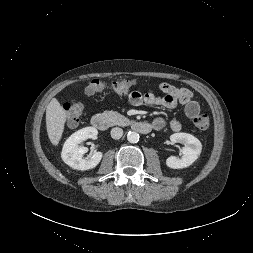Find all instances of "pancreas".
I'll return each instance as SVG.
<instances>
[{
	"label": "pancreas",
	"instance_id": "1",
	"mask_svg": "<svg viewBox=\"0 0 253 253\" xmlns=\"http://www.w3.org/2000/svg\"><path fill=\"white\" fill-rule=\"evenodd\" d=\"M103 115L109 120L111 125H125L129 119L116 111H104Z\"/></svg>",
	"mask_w": 253,
	"mask_h": 253
}]
</instances>
